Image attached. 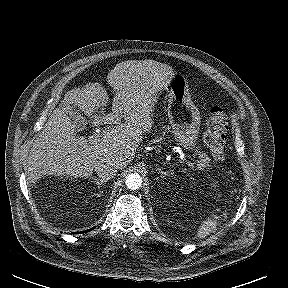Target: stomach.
<instances>
[{"label":"stomach","mask_w":288,"mask_h":288,"mask_svg":"<svg viewBox=\"0 0 288 288\" xmlns=\"http://www.w3.org/2000/svg\"><path fill=\"white\" fill-rule=\"evenodd\" d=\"M163 90L168 96V118L176 141L185 149H193L200 130V112L191 101L184 76L173 73Z\"/></svg>","instance_id":"obj_1"}]
</instances>
